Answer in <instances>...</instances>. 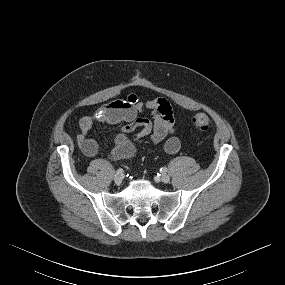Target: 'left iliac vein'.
Listing matches in <instances>:
<instances>
[{"label": "left iliac vein", "instance_id": "4c4485c4", "mask_svg": "<svg viewBox=\"0 0 285 285\" xmlns=\"http://www.w3.org/2000/svg\"><path fill=\"white\" fill-rule=\"evenodd\" d=\"M160 180L163 182V183H168L170 181V177L169 175L163 173L160 177Z\"/></svg>", "mask_w": 285, "mask_h": 285}]
</instances>
